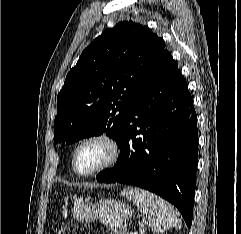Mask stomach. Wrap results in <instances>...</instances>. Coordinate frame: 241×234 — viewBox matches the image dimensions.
I'll use <instances>...</instances> for the list:
<instances>
[{"label": "stomach", "instance_id": "1", "mask_svg": "<svg viewBox=\"0 0 241 234\" xmlns=\"http://www.w3.org/2000/svg\"><path fill=\"white\" fill-rule=\"evenodd\" d=\"M77 221L90 222L95 219L112 228H121L132 216V209L124 202L115 199H101L99 202L79 200L73 208Z\"/></svg>", "mask_w": 241, "mask_h": 234}]
</instances>
